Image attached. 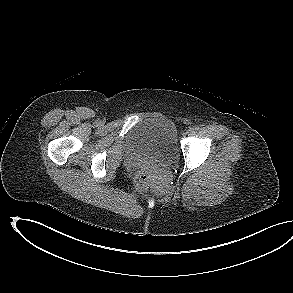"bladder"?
<instances>
[{
  "mask_svg": "<svg viewBox=\"0 0 293 293\" xmlns=\"http://www.w3.org/2000/svg\"><path fill=\"white\" fill-rule=\"evenodd\" d=\"M128 142L138 153L158 165L175 162L179 155L177 130L164 116H149L139 120L129 131Z\"/></svg>",
  "mask_w": 293,
  "mask_h": 293,
  "instance_id": "1",
  "label": "bladder"
}]
</instances>
